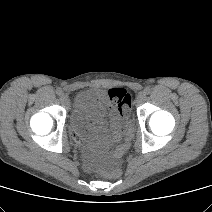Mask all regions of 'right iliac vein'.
Listing matches in <instances>:
<instances>
[{
	"label": "right iliac vein",
	"mask_w": 212,
	"mask_h": 212,
	"mask_svg": "<svg viewBox=\"0 0 212 212\" xmlns=\"http://www.w3.org/2000/svg\"><path fill=\"white\" fill-rule=\"evenodd\" d=\"M60 99H61V101H62L63 103H68V96H67V94L62 93V94L60 95Z\"/></svg>",
	"instance_id": "right-iliac-vein-1"
}]
</instances>
